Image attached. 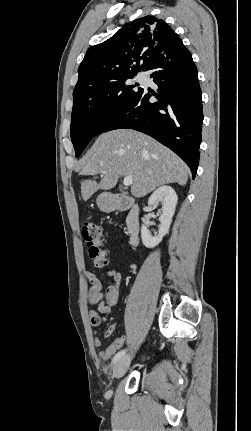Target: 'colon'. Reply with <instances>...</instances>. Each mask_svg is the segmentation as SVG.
Listing matches in <instances>:
<instances>
[{
	"mask_svg": "<svg viewBox=\"0 0 251 431\" xmlns=\"http://www.w3.org/2000/svg\"><path fill=\"white\" fill-rule=\"evenodd\" d=\"M82 237L86 242L88 255L93 264L102 268L108 264L107 252L103 247L104 237L101 228L93 222H86L82 227ZM125 337L116 338L112 343L106 346L108 351L105 352V363L110 362L115 357L116 352L124 349Z\"/></svg>",
	"mask_w": 251,
	"mask_h": 431,
	"instance_id": "obj_1",
	"label": "colon"
}]
</instances>
